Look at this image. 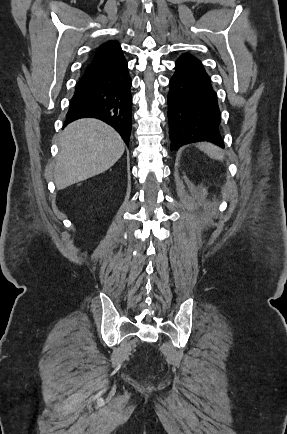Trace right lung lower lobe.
<instances>
[{"label":"right lung lower lobe","instance_id":"1","mask_svg":"<svg viewBox=\"0 0 287 434\" xmlns=\"http://www.w3.org/2000/svg\"><path fill=\"white\" fill-rule=\"evenodd\" d=\"M131 78L122 50L92 60L84 70L70 101L64 126L85 117L100 119L129 143L132 127Z\"/></svg>","mask_w":287,"mask_h":434}]
</instances>
